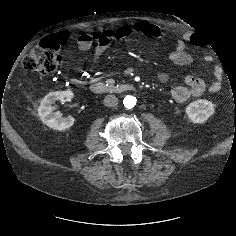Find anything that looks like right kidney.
Masks as SVG:
<instances>
[{
    "instance_id": "1",
    "label": "right kidney",
    "mask_w": 236,
    "mask_h": 236,
    "mask_svg": "<svg viewBox=\"0 0 236 236\" xmlns=\"http://www.w3.org/2000/svg\"><path fill=\"white\" fill-rule=\"evenodd\" d=\"M73 93L71 91H55L47 94L41 101L38 108V115L42 122L54 130H66L74 124L72 116L63 117L60 111L54 112L52 104L56 100L71 101Z\"/></svg>"
}]
</instances>
